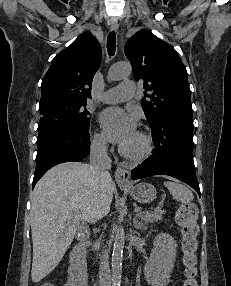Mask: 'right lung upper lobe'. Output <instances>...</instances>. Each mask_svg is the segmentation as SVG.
I'll return each instance as SVG.
<instances>
[{
  "mask_svg": "<svg viewBox=\"0 0 231 286\" xmlns=\"http://www.w3.org/2000/svg\"><path fill=\"white\" fill-rule=\"evenodd\" d=\"M102 51L97 40L84 32L58 53L42 81L40 106L56 101L86 102ZM89 86V88H88Z\"/></svg>",
  "mask_w": 231,
  "mask_h": 286,
  "instance_id": "1",
  "label": "right lung upper lobe"
}]
</instances>
